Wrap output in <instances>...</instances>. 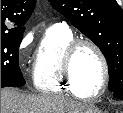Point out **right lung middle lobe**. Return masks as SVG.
<instances>
[{
    "instance_id": "dd1d6c3e",
    "label": "right lung middle lobe",
    "mask_w": 123,
    "mask_h": 113,
    "mask_svg": "<svg viewBox=\"0 0 123 113\" xmlns=\"http://www.w3.org/2000/svg\"><path fill=\"white\" fill-rule=\"evenodd\" d=\"M22 37L23 35L1 37V88L25 85L18 65V48Z\"/></svg>"
}]
</instances>
